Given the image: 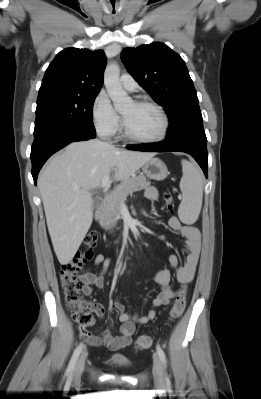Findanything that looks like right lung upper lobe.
<instances>
[{"label":"right lung upper lobe","mask_w":261,"mask_h":399,"mask_svg":"<svg viewBox=\"0 0 261 399\" xmlns=\"http://www.w3.org/2000/svg\"><path fill=\"white\" fill-rule=\"evenodd\" d=\"M102 50L67 48L47 68L38 97L51 94L95 95L103 84Z\"/></svg>","instance_id":"cb5924a9"}]
</instances>
